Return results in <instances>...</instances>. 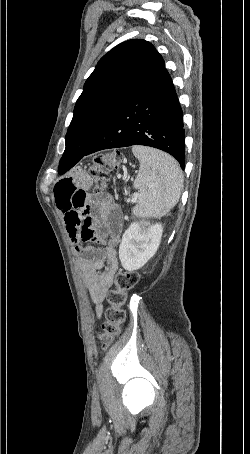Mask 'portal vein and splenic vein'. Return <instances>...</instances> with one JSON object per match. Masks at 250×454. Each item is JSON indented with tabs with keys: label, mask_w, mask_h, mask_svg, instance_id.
Segmentation results:
<instances>
[{
	"label": "portal vein and splenic vein",
	"mask_w": 250,
	"mask_h": 454,
	"mask_svg": "<svg viewBox=\"0 0 250 454\" xmlns=\"http://www.w3.org/2000/svg\"><path fill=\"white\" fill-rule=\"evenodd\" d=\"M129 202L135 203L137 201L136 196L132 197L131 199H128Z\"/></svg>",
	"instance_id": "1"
}]
</instances>
